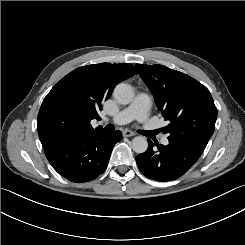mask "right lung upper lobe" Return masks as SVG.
<instances>
[{"mask_svg": "<svg viewBox=\"0 0 245 245\" xmlns=\"http://www.w3.org/2000/svg\"><path fill=\"white\" fill-rule=\"evenodd\" d=\"M137 74L127 63H101L79 67L63 77L47 94L38 113V134L42 146L93 129L90 121L100 120L97 113L114 87Z\"/></svg>", "mask_w": 245, "mask_h": 245, "instance_id": "right-lung-upper-lobe-1", "label": "right lung upper lobe"}]
</instances>
